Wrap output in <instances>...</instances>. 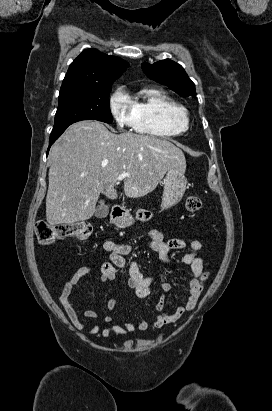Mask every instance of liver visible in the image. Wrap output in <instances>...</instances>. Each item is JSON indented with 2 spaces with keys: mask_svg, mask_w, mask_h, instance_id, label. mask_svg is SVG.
Instances as JSON below:
<instances>
[{
  "mask_svg": "<svg viewBox=\"0 0 272 411\" xmlns=\"http://www.w3.org/2000/svg\"><path fill=\"white\" fill-rule=\"evenodd\" d=\"M46 220L50 225L88 220L101 193L117 198L121 173L125 195L152 192L167 170H186L183 152L171 142L134 133H111L97 121L72 124L51 147Z\"/></svg>",
  "mask_w": 272,
  "mask_h": 411,
  "instance_id": "liver-1",
  "label": "liver"
}]
</instances>
